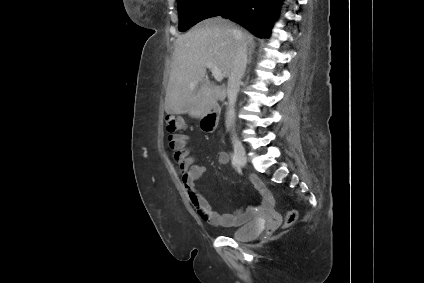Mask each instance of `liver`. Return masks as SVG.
Masks as SVG:
<instances>
[{"label": "liver", "instance_id": "6515ba94", "mask_svg": "<svg viewBox=\"0 0 424 283\" xmlns=\"http://www.w3.org/2000/svg\"><path fill=\"white\" fill-rule=\"evenodd\" d=\"M236 30L240 31L237 34ZM250 50L253 36L221 17L208 18L178 37L166 90L167 114H185L201 118L216 101L219 89L214 83H205L197 89L206 73V63L212 62L229 77L232 60L240 40Z\"/></svg>", "mask_w": 424, "mask_h": 283}]
</instances>
